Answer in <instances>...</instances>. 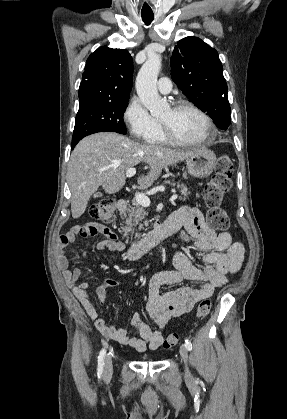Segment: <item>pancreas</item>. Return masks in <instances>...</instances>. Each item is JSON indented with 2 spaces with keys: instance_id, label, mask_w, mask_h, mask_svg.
<instances>
[{
  "instance_id": "pancreas-1",
  "label": "pancreas",
  "mask_w": 287,
  "mask_h": 419,
  "mask_svg": "<svg viewBox=\"0 0 287 419\" xmlns=\"http://www.w3.org/2000/svg\"><path fill=\"white\" fill-rule=\"evenodd\" d=\"M177 187L180 189L181 196L179 197L180 200H185L190 195V191H188L186 185L184 184H177ZM148 215V212L145 210L143 206H141L136 199L132 201V204L126 209L123 213V220L125 226L122 227V232L124 233V237L127 238L128 242V234L134 233V228L138 225L139 230L143 229V222L145 216ZM146 224V223H145ZM141 237L140 234L135 235V239H139Z\"/></svg>"
}]
</instances>
